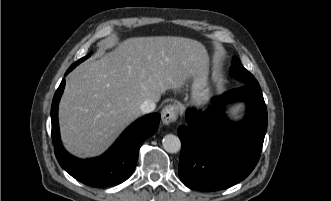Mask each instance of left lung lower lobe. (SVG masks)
<instances>
[{"mask_svg": "<svg viewBox=\"0 0 331 201\" xmlns=\"http://www.w3.org/2000/svg\"><path fill=\"white\" fill-rule=\"evenodd\" d=\"M220 99L244 100L248 106L244 120L221 123L212 108L188 109L187 124L177 130L182 143L179 177L194 190H221L244 180L262 151L267 109L258 82L227 91Z\"/></svg>", "mask_w": 331, "mask_h": 201, "instance_id": "left-lung-lower-lobe-1", "label": "left lung lower lobe"}]
</instances>
